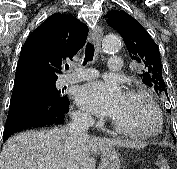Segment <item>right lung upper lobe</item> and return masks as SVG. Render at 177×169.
<instances>
[{
	"mask_svg": "<svg viewBox=\"0 0 177 169\" xmlns=\"http://www.w3.org/2000/svg\"><path fill=\"white\" fill-rule=\"evenodd\" d=\"M87 34V26L73 15H51L24 43L16 75H37L56 81L62 64L84 46Z\"/></svg>",
	"mask_w": 177,
	"mask_h": 169,
	"instance_id": "right-lung-upper-lobe-1",
	"label": "right lung upper lobe"
}]
</instances>
